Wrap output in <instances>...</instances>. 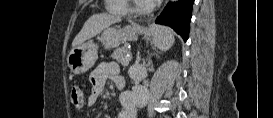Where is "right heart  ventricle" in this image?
<instances>
[{
	"label": "right heart ventricle",
	"instance_id": "obj_1",
	"mask_svg": "<svg viewBox=\"0 0 273 118\" xmlns=\"http://www.w3.org/2000/svg\"><path fill=\"white\" fill-rule=\"evenodd\" d=\"M126 0H108L107 8L112 13H126L127 12Z\"/></svg>",
	"mask_w": 273,
	"mask_h": 118
}]
</instances>
